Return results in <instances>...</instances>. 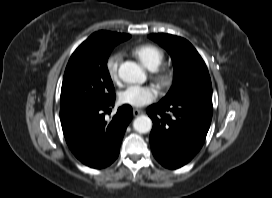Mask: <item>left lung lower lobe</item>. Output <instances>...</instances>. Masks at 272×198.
<instances>
[{
  "label": "left lung lower lobe",
  "mask_w": 272,
  "mask_h": 198,
  "mask_svg": "<svg viewBox=\"0 0 272 198\" xmlns=\"http://www.w3.org/2000/svg\"><path fill=\"white\" fill-rule=\"evenodd\" d=\"M212 100L183 98L148 107L153 121L150 144L156 160L176 169L201 149L212 119Z\"/></svg>",
  "instance_id": "0a47b994"
}]
</instances>
